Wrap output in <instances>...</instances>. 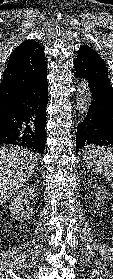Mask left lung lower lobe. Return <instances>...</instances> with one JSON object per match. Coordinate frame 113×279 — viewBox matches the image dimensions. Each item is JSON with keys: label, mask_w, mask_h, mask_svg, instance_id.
<instances>
[{"label": "left lung lower lobe", "mask_w": 113, "mask_h": 279, "mask_svg": "<svg viewBox=\"0 0 113 279\" xmlns=\"http://www.w3.org/2000/svg\"><path fill=\"white\" fill-rule=\"evenodd\" d=\"M76 77L85 78L92 101L84 120L77 126L76 152L89 145L113 147V88L103 59L79 50L74 62Z\"/></svg>", "instance_id": "0a47b994"}]
</instances>
